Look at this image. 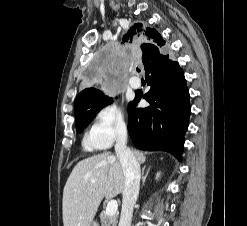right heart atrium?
<instances>
[{
	"mask_svg": "<svg viewBox=\"0 0 247 226\" xmlns=\"http://www.w3.org/2000/svg\"><path fill=\"white\" fill-rule=\"evenodd\" d=\"M128 133V124L120 108L105 106L94 117L86 137L90 149L105 150L123 140Z\"/></svg>",
	"mask_w": 247,
	"mask_h": 226,
	"instance_id": "obj_1",
	"label": "right heart atrium"
}]
</instances>
